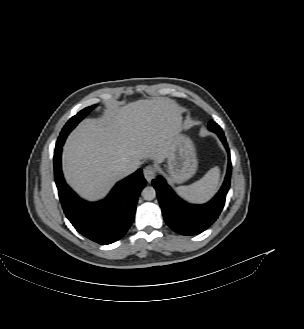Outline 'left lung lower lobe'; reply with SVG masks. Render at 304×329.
I'll list each match as a JSON object with an SVG mask.
<instances>
[{
  "label": "left lung lower lobe",
  "mask_w": 304,
  "mask_h": 329,
  "mask_svg": "<svg viewBox=\"0 0 304 329\" xmlns=\"http://www.w3.org/2000/svg\"><path fill=\"white\" fill-rule=\"evenodd\" d=\"M208 129L219 136L228 152V169L224 183L211 201L203 205L186 203L167 185L163 177L158 176L152 181L167 225L182 235L199 234L213 224L224 207L230 187L231 161L224 133L215 122L213 125H208Z\"/></svg>",
  "instance_id": "left-lung-lower-lobe-1"
}]
</instances>
